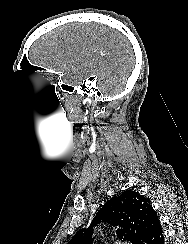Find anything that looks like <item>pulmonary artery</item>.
Returning <instances> with one entry per match:
<instances>
[{
    "label": "pulmonary artery",
    "instance_id": "pulmonary-artery-1",
    "mask_svg": "<svg viewBox=\"0 0 188 244\" xmlns=\"http://www.w3.org/2000/svg\"><path fill=\"white\" fill-rule=\"evenodd\" d=\"M117 244H130V243H128V242H119V243H117Z\"/></svg>",
    "mask_w": 188,
    "mask_h": 244
}]
</instances>
